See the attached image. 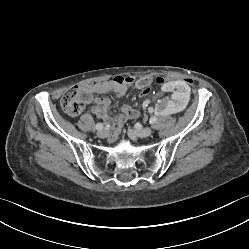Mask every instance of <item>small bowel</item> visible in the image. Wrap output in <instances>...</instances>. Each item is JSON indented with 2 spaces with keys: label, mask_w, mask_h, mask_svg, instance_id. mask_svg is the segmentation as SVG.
Returning a JSON list of instances; mask_svg holds the SVG:
<instances>
[{
  "label": "small bowel",
  "mask_w": 249,
  "mask_h": 249,
  "mask_svg": "<svg viewBox=\"0 0 249 249\" xmlns=\"http://www.w3.org/2000/svg\"><path fill=\"white\" fill-rule=\"evenodd\" d=\"M152 78L141 77L135 80L132 77L125 76H115L109 80L97 82L94 84H88L81 87L82 92L85 95V106L86 108L95 113L99 118L105 121L107 125L112 127L113 132L111 136V141H114L117 136L121 133L123 124L132 118L138 116V111L129 105H123L120 114L112 117L109 115V109L111 101L109 98H94V94H104L113 92L118 97L123 96L129 87L133 86L135 89L143 92L148 89L149 85L152 83ZM186 81V80H185ZM187 82V81H186ZM190 90V89H189ZM149 102L144 103V108L149 112L152 111V107L148 105Z\"/></svg>",
  "instance_id": "obj_1"
}]
</instances>
